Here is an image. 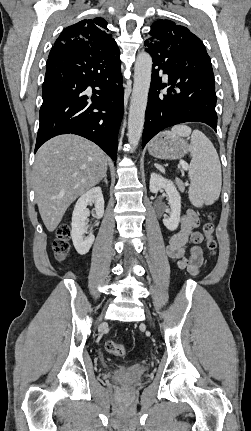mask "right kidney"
Segmentation results:
<instances>
[{
	"instance_id": "ca27d5eb",
	"label": "right kidney",
	"mask_w": 251,
	"mask_h": 431,
	"mask_svg": "<svg viewBox=\"0 0 251 431\" xmlns=\"http://www.w3.org/2000/svg\"><path fill=\"white\" fill-rule=\"evenodd\" d=\"M94 203L96 218H101L104 215V198L100 187H94L85 192L76 202L72 214V241L76 251L80 255H85L89 252L93 242L94 235L92 233L85 237L86 219L88 216L87 205Z\"/></svg>"
}]
</instances>
